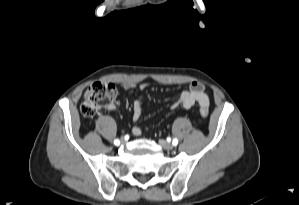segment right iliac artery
<instances>
[{"mask_svg":"<svg viewBox=\"0 0 299 205\" xmlns=\"http://www.w3.org/2000/svg\"><path fill=\"white\" fill-rule=\"evenodd\" d=\"M119 143H120V141H119L118 139H115V140H114V144H115V145H119Z\"/></svg>","mask_w":299,"mask_h":205,"instance_id":"82829eb1","label":"right iliac artery"}]
</instances>
